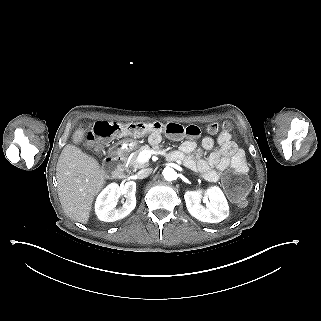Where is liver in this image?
<instances>
[{
  "mask_svg": "<svg viewBox=\"0 0 321 321\" xmlns=\"http://www.w3.org/2000/svg\"><path fill=\"white\" fill-rule=\"evenodd\" d=\"M85 137L86 130L78 128L72 135L74 145L63 148L56 167L62 208L67 216L81 224L89 222L94 199L106 184L98 160L75 146Z\"/></svg>",
  "mask_w": 321,
  "mask_h": 321,
  "instance_id": "obj_1",
  "label": "liver"
}]
</instances>
